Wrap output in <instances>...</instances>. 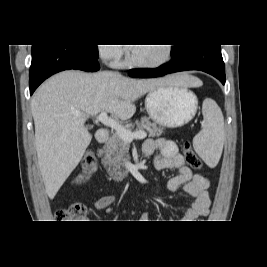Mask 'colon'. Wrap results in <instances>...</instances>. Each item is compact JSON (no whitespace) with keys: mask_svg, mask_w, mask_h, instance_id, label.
<instances>
[{"mask_svg":"<svg viewBox=\"0 0 267 267\" xmlns=\"http://www.w3.org/2000/svg\"><path fill=\"white\" fill-rule=\"evenodd\" d=\"M183 155L185 157L188 165L194 169H200L202 166L200 158L194 152L192 147L188 142L183 144ZM83 168V176H87L93 173L97 169V159L95 153L92 150H87L81 161ZM87 209L84 203L82 202H74L70 204L68 207L60 209L57 214V222L61 223H78L82 222L85 218Z\"/></svg>","mask_w":267,"mask_h":267,"instance_id":"1","label":"colon"}]
</instances>
